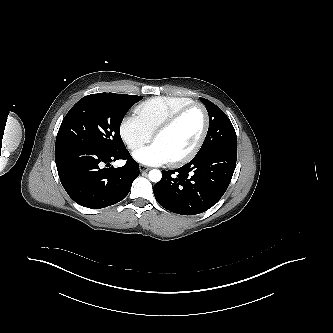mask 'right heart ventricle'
<instances>
[{
	"label": "right heart ventricle",
	"instance_id": "e07e8e85",
	"mask_svg": "<svg viewBox=\"0 0 333 333\" xmlns=\"http://www.w3.org/2000/svg\"><path fill=\"white\" fill-rule=\"evenodd\" d=\"M193 99L182 96H158L145 100L135 108L136 116L144 126L154 133L156 128L180 108L193 103Z\"/></svg>",
	"mask_w": 333,
	"mask_h": 333
}]
</instances>
